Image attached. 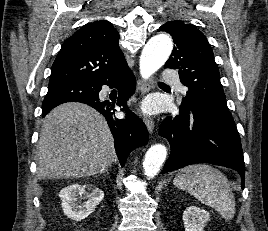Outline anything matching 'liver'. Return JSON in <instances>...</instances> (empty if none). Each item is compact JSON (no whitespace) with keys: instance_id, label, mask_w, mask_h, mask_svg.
I'll return each mask as SVG.
<instances>
[{"instance_id":"obj_1","label":"liver","mask_w":268,"mask_h":231,"mask_svg":"<svg viewBox=\"0 0 268 231\" xmlns=\"http://www.w3.org/2000/svg\"><path fill=\"white\" fill-rule=\"evenodd\" d=\"M116 159L104 117L92 107L70 102L43 120L37 146V177L84 178L102 173Z\"/></svg>"}]
</instances>
